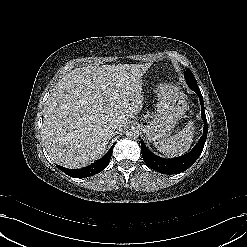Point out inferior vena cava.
<instances>
[{
    "label": "inferior vena cava",
    "instance_id": "obj_1",
    "mask_svg": "<svg viewBox=\"0 0 247 247\" xmlns=\"http://www.w3.org/2000/svg\"><path fill=\"white\" fill-rule=\"evenodd\" d=\"M121 130V127L119 124L114 123V124H110L109 126H107L106 128V132L109 136L113 137L115 136L119 131Z\"/></svg>",
    "mask_w": 247,
    "mask_h": 247
}]
</instances>
